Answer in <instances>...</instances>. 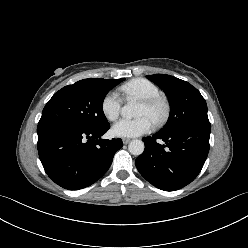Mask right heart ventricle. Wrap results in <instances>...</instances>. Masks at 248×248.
Listing matches in <instances>:
<instances>
[{
  "mask_svg": "<svg viewBox=\"0 0 248 248\" xmlns=\"http://www.w3.org/2000/svg\"><path fill=\"white\" fill-rule=\"evenodd\" d=\"M120 91L128 99L142 100L161 95L159 88L145 78H135L126 82L120 87Z\"/></svg>",
  "mask_w": 248,
  "mask_h": 248,
  "instance_id": "e07e8e85",
  "label": "right heart ventricle"
}]
</instances>
